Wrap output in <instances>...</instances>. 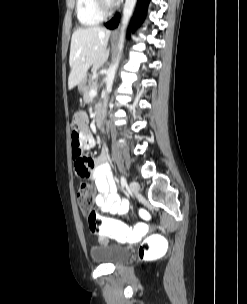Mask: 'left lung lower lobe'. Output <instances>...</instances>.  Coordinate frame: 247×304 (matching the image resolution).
Segmentation results:
<instances>
[{
  "instance_id": "obj_1",
  "label": "left lung lower lobe",
  "mask_w": 247,
  "mask_h": 304,
  "mask_svg": "<svg viewBox=\"0 0 247 304\" xmlns=\"http://www.w3.org/2000/svg\"><path fill=\"white\" fill-rule=\"evenodd\" d=\"M149 1L150 0H138L137 9L133 18L134 27L143 21ZM119 20L120 15L117 14L114 18L107 22L105 26L109 29H114L115 27H117Z\"/></svg>"
}]
</instances>
